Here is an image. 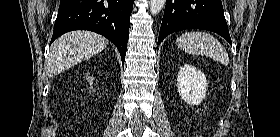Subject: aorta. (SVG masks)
Wrapping results in <instances>:
<instances>
[{
	"label": "aorta",
	"instance_id": "obj_1",
	"mask_svg": "<svg viewBox=\"0 0 280 137\" xmlns=\"http://www.w3.org/2000/svg\"><path fill=\"white\" fill-rule=\"evenodd\" d=\"M166 0H150V12L157 15L164 7Z\"/></svg>",
	"mask_w": 280,
	"mask_h": 137
}]
</instances>
